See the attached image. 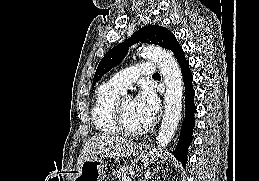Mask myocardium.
<instances>
[{
    "label": "myocardium",
    "mask_w": 259,
    "mask_h": 181,
    "mask_svg": "<svg viewBox=\"0 0 259 181\" xmlns=\"http://www.w3.org/2000/svg\"><path fill=\"white\" fill-rule=\"evenodd\" d=\"M131 97V95L126 94L117 100L116 107H115V114H116V119L117 123L122 130V132L129 134V135H139L142 133L147 132L153 125L152 122H149L148 124L141 126V127H133L128 124L123 108V102L126 98Z\"/></svg>",
    "instance_id": "f54148a6"
}]
</instances>
